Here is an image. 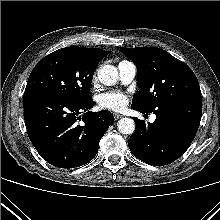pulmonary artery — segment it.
Instances as JSON below:
<instances>
[{
  "label": "pulmonary artery",
  "instance_id": "1",
  "mask_svg": "<svg viewBox=\"0 0 220 220\" xmlns=\"http://www.w3.org/2000/svg\"><path fill=\"white\" fill-rule=\"evenodd\" d=\"M118 72H119V78L120 81L123 84H129L132 82V80L135 78L137 68L136 65L127 60L121 61L117 66ZM156 116L152 115L150 118V121L153 122L155 120Z\"/></svg>",
  "mask_w": 220,
  "mask_h": 220
}]
</instances>
